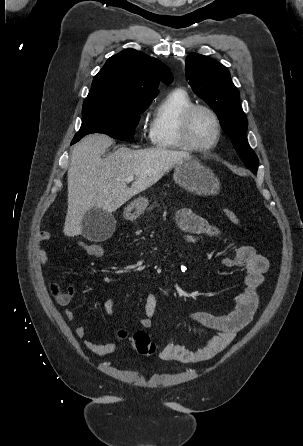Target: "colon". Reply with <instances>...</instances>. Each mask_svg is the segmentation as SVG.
<instances>
[{
  "label": "colon",
  "instance_id": "1",
  "mask_svg": "<svg viewBox=\"0 0 303 446\" xmlns=\"http://www.w3.org/2000/svg\"><path fill=\"white\" fill-rule=\"evenodd\" d=\"M224 214L232 224L238 225L240 223L237 213L233 210L224 209ZM85 252L89 257L99 259L104 255L105 247L99 243L89 244ZM118 338L129 339L131 345L139 354L151 355L155 352V344L149 335L143 331H138L129 336L126 331L120 330L118 331Z\"/></svg>",
  "mask_w": 303,
  "mask_h": 446
}]
</instances>
